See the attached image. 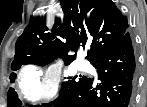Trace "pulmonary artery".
Returning <instances> with one entry per match:
<instances>
[{"mask_svg": "<svg viewBox=\"0 0 147 107\" xmlns=\"http://www.w3.org/2000/svg\"><path fill=\"white\" fill-rule=\"evenodd\" d=\"M78 67H79V68H84V67H85V64H84V63H80V64L78 65Z\"/></svg>", "mask_w": 147, "mask_h": 107, "instance_id": "pulmonary-artery-1", "label": "pulmonary artery"}]
</instances>
